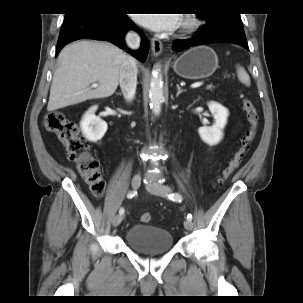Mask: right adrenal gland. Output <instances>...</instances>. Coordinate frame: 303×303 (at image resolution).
Returning <instances> with one entry per match:
<instances>
[{"label":"right adrenal gland","instance_id":"obj_1","mask_svg":"<svg viewBox=\"0 0 303 303\" xmlns=\"http://www.w3.org/2000/svg\"><path fill=\"white\" fill-rule=\"evenodd\" d=\"M117 95H120V96H121V93H117Z\"/></svg>","mask_w":303,"mask_h":303}]
</instances>
